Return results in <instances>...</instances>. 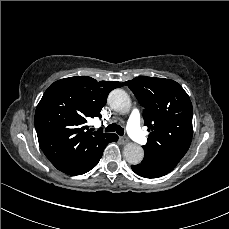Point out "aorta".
<instances>
[{
    "instance_id": "762f6f07",
    "label": "aorta",
    "mask_w": 229,
    "mask_h": 229,
    "mask_svg": "<svg viewBox=\"0 0 229 229\" xmlns=\"http://www.w3.org/2000/svg\"><path fill=\"white\" fill-rule=\"evenodd\" d=\"M108 104L113 110L120 113H126L131 108L130 97L122 89H115L109 94ZM123 155L129 164L137 165L143 160L144 150L136 143H127L124 146Z\"/></svg>"
}]
</instances>
